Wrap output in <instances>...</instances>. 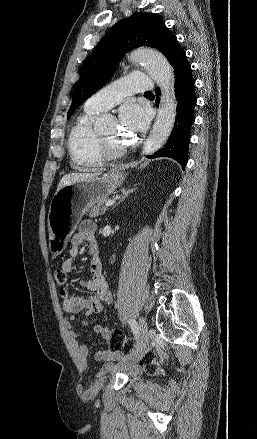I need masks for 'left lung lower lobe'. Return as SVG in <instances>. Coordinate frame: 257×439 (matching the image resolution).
Masks as SVG:
<instances>
[{"label":"left lung lower lobe","mask_w":257,"mask_h":439,"mask_svg":"<svg viewBox=\"0 0 257 439\" xmlns=\"http://www.w3.org/2000/svg\"><path fill=\"white\" fill-rule=\"evenodd\" d=\"M167 60L174 67L175 95L177 100V115L174 128L165 146L147 156L148 158L170 157L178 161L183 168L187 164L188 144L191 125L195 121L193 109L197 102L191 67L186 60V54L179 42L174 40L171 45ZM160 95L159 88L156 89ZM158 106L159 99L156 101Z\"/></svg>","instance_id":"obj_1"}]
</instances>
